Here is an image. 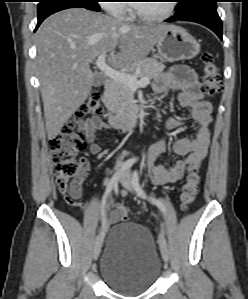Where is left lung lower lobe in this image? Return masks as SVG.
<instances>
[{
  "label": "left lung lower lobe",
  "mask_w": 248,
  "mask_h": 299,
  "mask_svg": "<svg viewBox=\"0 0 248 299\" xmlns=\"http://www.w3.org/2000/svg\"><path fill=\"white\" fill-rule=\"evenodd\" d=\"M216 8L217 6L214 4H207L193 8L189 12H185L176 7L175 15L166 21L182 20L202 24L214 31L222 40V22Z\"/></svg>",
  "instance_id": "obj_1"
}]
</instances>
